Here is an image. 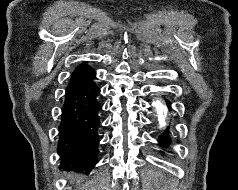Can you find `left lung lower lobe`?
Wrapping results in <instances>:
<instances>
[{"label": "left lung lower lobe", "mask_w": 238, "mask_h": 190, "mask_svg": "<svg viewBox=\"0 0 238 190\" xmlns=\"http://www.w3.org/2000/svg\"><path fill=\"white\" fill-rule=\"evenodd\" d=\"M168 131V130H167ZM164 133L160 139H159V142L162 144V145H167L169 143V139L167 138L168 137V133Z\"/></svg>", "instance_id": "left-lung-lower-lobe-1"}]
</instances>
